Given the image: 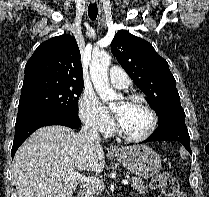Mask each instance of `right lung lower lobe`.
<instances>
[{"label": "right lung lower lobe", "instance_id": "right-lung-lower-lobe-1", "mask_svg": "<svg viewBox=\"0 0 209 197\" xmlns=\"http://www.w3.org/2000/svg\"><path fill=\"white\" fill-rule=\"evenodd\" d=\"M48 125H64L76 129L81 126V121L78 116L61 112H45L16 120L15 136L11 150L12 158L28 136L36 129Z\"/></svg>", "mask_w": 209, "mask_h": 197}]
</instances>
